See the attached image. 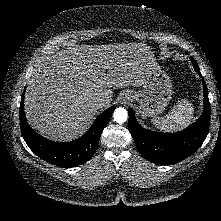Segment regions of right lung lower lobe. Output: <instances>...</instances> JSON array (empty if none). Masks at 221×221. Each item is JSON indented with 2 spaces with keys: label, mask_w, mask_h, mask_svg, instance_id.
<instances>
[{
  "label": "right lung lower lobe",
  "mask_w": 221,
  "mask_h": 221,
  "mask_svg": "<svg viewBox=\"0 0 221 221\" xmlns=\"http://www.w3.org/2000/svg\"><path fill=\"white\" fill-rule=\"evenodd\" d=\"M115 106L101 114L90 129L79 139L70 142H54L38 135L25 118L24 94L21 96L20 126L29 148L41 159L61 167H73L88 161L95 153L103 129L108 124Z\"/></svg>",
  "instance_id": "98d812e1"
}]
</instances>
